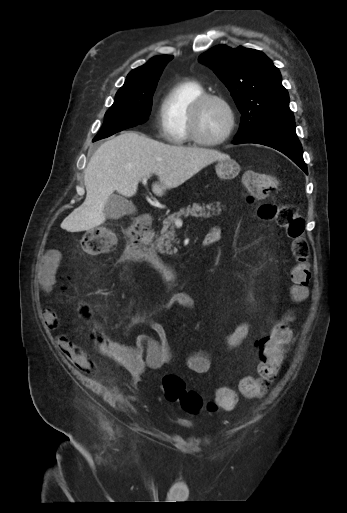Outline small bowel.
<instances>
[{"instance_id":"small-bowel-1","label":"small bowel","mask_w":347,"mask_h":513,"mask_svg":"<svg viewBox=\"0 0 347 513\" xmlns=\"http://www.w3.org/2000/svg\"><path fill=\"white\" fill-rule=\"evenodd\" d=\"M209 233H215L218 238L220 237V232L216 227H213ZM57 266L58 257L56 254L52 253L46 259L41 269L40 286L47 294H51L55 286V273ZM304 298L298 299V301H301ZM175 306L184 307L190 310L194 309L195 300L193 295L185 291L177 292L169 297L162 308L169 309ZM91 315H93V312ZM82 317L85 319L86 316ZM44 318L49 326H54L57 322V315L53 309L46 310ZM147 323L157 335L156 339L148 335H139L132 346L112 345V347L108 349V354L115 360V362L126 368L132 374L134 380H139L148 368L159 369L165 365L171 364L175 360L171 341L164 327L154 321H147ZM249 329L250 325L248 322H244L235 328L234 331L228 334L225 338L226 348L228 350L238 348L248 337ZM57 345L61 352L77 362L80 368L84 370L89 369V361L73 342L66 337H60L57 340ZM261 345L262 342L256 344L257 347H261ZM185 363L187 367L195 373H207L211 368L210 353L207 351L191 352L186 356Z\"/></svg>"}]
</instances>
